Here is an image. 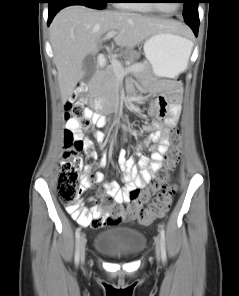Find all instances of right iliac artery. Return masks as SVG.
I'll return each instance as SVG.
<instances>
[{
    "label": "right iliac artery",
    "instance_id": "right-iliac-artery-1",
    "mask_svg": "<svg viewBox=\"0 0 239 296\" xmlns=\"http://www.w3.org/2000/svg\"><path fill=\"white\" fill-rule=\"evenodd\" d=\"M80 230H81L80 228H77L76 233H75V238H76L75 264H76V266L79 264V259H80V252H79Z\"/></svg>",
    "mask_w": 239,
    "mask_h": 296
}]
</instances>
